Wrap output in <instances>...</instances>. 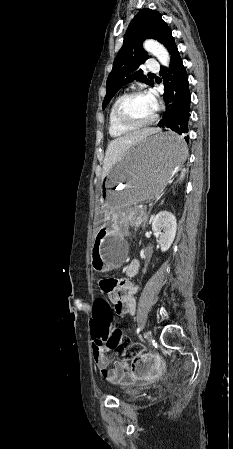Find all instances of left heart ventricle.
I'll use <instances>...</instances> for the list:
<instances>
[{
  "instance_id": "b2bd125f",
  "label": "left heart ventricle",
  "mask_w": 233,
  "mask_h": 449,
  "mask_svg": "<svg viewBox=\"0 0 233 449\" xmlns=\"http://www.w3.org/2000/svg\"><path fill=\"white\" fill-rule=\"evenodd\" d=\"M155 111V105L148 95L133 96L121 106V115L130 122L140 123L149 120Z\"/></svg>"
}]
</instances>
